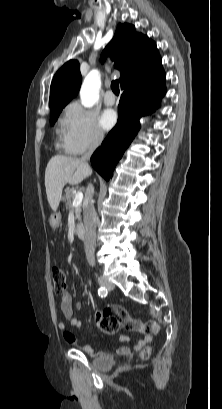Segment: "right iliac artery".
Instances as JSON below:
<instances>
[{"label": "right iliac artery", "instance_id": "obj_1", "mask_svg": "<svg viewBox=\"0 0 222 409\" xmlns=\"http://www.w3.org/2000/svg\"><path fill=\"white\" fill-rule=\"evenodd\" d=\"M107 294H108V291H107L106 288L100 287V288L98 289V295H99L101 298L106 297Z\"/></svg>", "mask_w": 222, "mask_h": 409}]
</instances>
